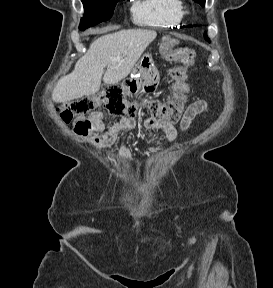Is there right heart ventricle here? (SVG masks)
Masks as SVG:
<instances>
[{
  "instance_id": "right-heart-ventricle-1",
  "label": "right heart ventricle",
  "mask_w": 273,
  "mask_h": 288,
  "mask_svg": "<svg viewBox=\"0 0 273 288\" xmlns=\"http://www.w3.org/2000/svg\"><path fill=\"white\" fill-rule=\"evenodd\" d=\"M184 10L182 0H134L132 14L137 24L168 28L183 20Z\"/></svg>"
}]
</instances>
